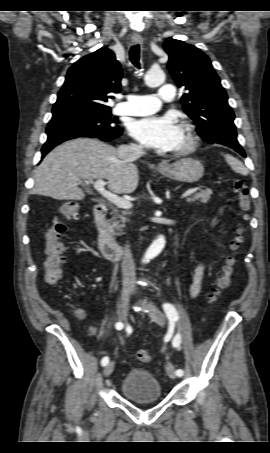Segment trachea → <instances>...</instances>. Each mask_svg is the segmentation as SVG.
Wrapping results in <instances>:
<instances>
[{"instance_id": "3493384b", "label": "trachea", "mask_w": 270, "mask_h": 453, "mask_svg": "<svg viewBox=\"0 0 270 453\" xmlns=\"http://www.w3.org/2000/svg\"><path fill=\"white\" fill-rule=\"evenodd\" d=\"M129 57H130V61L132 62V64L134 66H136L137 68H140V63H139V60H140V46L138 44L134 45V46H132L130 48Z\"/></svg>"}]
</instances>
